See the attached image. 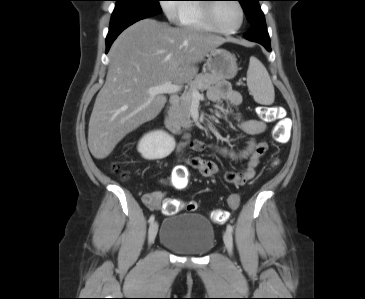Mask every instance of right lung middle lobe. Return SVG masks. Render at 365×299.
Masks as SVG:
<instances>
[{"label":"right lung middle lobe","mask_w":365,"mask_h":299,"mask_svg":"<svg viewBox=\"0 0 365 299\" xmlns=\"http://www.w3.org/2000/svg\"><path fill=\"white\" fill-rule=\"evenodd\" d=\"M115 9L111 21L124 18L130 15L158 14L162 11L160 0H114Z\"/></svg>","instance_id":"1"}]
</instances>
